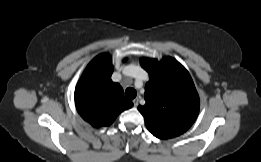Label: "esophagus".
Instances as JSON below:
<instances>
[{
	"label": "esophagus",
	"mask_w": 261,
	"mask_h": 162,
	"mask_svg": "<svg viewBox=\"0 0 261 162\" xmlns=\"http://www.w3.org/2000/svg\"><path fill=\"white\" fill-rule=\"evenodd\" d=\"M138 103H139V99L138 98L133 99V104H134L135 107L138 106Z\"/></svg>",
	"instance_id": "obj_1"
}]
</instances>
